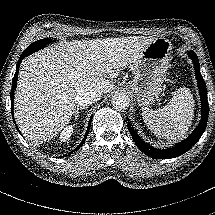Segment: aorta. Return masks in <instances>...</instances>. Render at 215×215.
Segmentation results:
<instances>
[{"label": "aorta", "instance_id": "aorta-1", "mask_svg": "<svg viewBox=\"0 0 215 215\" xmlns=\"http://www.w3.org/2000/svg\"><path fill=\"white\" fill-rule=\"evenodd\" d=\"M111 103L116 110H124L129 107L130 99L126 95L115 94Z\"/></svg>", "mask_w": 215, "mask_h": 215}]
</instances>
